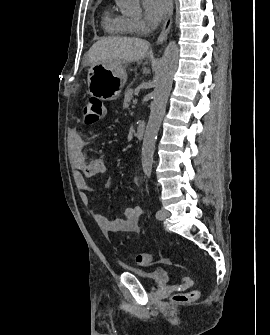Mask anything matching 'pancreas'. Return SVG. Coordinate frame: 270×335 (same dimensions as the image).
<instances>
[{
  "label": "pancreas",
  "instance_id": "obj_1",
  "mask_svg": "<svg viewBox=\"0 0 270 335\" xmlns=\"http://www.w3.org/2000/svg\"><path fill=\"white\" fill-rule=\"evenodd\" d=\"M134 90H131V88H128L126 94H125V98H124V104H123V108H128L129 106V102H131L133 96Z\"/></svg>",
  "mask_w": 270,
  "mask_h": 335
}]
</instances>
